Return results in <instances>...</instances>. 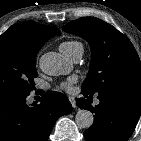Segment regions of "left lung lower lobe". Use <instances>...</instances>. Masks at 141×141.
<instances>
[{"mask_svg":"<svg viewBox=\"0 0 141 141\" xmlns=\"http://www.w3.org/2000/svg\"><path fill=\"white\" fill-rule=\"evenodd\" d=\"M82 91V90H81ZM84 96L90 95L82 91ZM99 105L77 99V106L95 113L94 123L84 132L87 141H127L141 114V92L103 91L98 93Z\"/></svg>","mask_w":141,"mask_h":141,"instance_id":"obj_1","label":"left lung lower lobe"}]
</instances>
